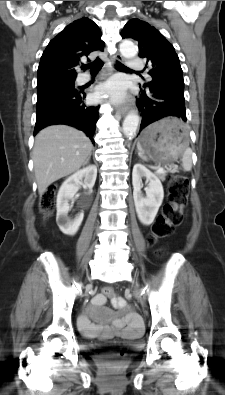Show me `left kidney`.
I'll list each match as a JSON object with an SVG mask.
<instances>
[{
    "instance_id": "left-kidney-1",
    "label": "left kidney",
    "mask_w": 225,
    "mask_h": 395,
    "mask_svg": "<svg viewBox=\"0 0 225 395\" xmlns=\"http://www.w3.org/2000/svg\"><path fill=\"white\" fill-rule=\"evenodd\" d=\"M145 177L149 182L146 190V197H143L142 178ZM133 198L136 213L140 222L150 225L158 212L164 198L163 186L160 179L148 170L144 165L137 163L132 172Z\"/></svg>"
}]
</instances>
